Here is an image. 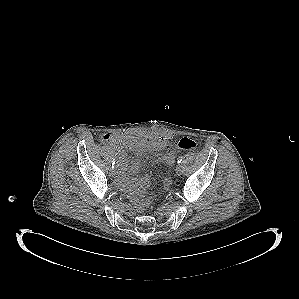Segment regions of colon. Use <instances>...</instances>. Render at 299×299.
<instances>
[{"mask_svg":"<svg viewBox=\"0 0 299 299\" xmlns=\"http://www.w3.org/2000/svg\"><path fill=\"white\" fill-rule=\"evenodd\" d=\"M197 143L194 139L189 137H183L178 141V147L182 150H194ZM150 201L146 200L142 203L143 206L149 205Z\"/></svg>","mask_w":299,"mask_h":299,"instance_id":"1","label":"colon"}]
</instances>
